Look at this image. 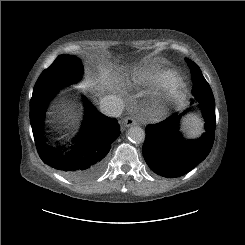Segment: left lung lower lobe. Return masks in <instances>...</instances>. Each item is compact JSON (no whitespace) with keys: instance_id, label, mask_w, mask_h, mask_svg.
Wrapping results in <instances>:
<instances>
[{"instance_id":"left-lung-lower-lobe-1","label":"left lung lower lobe","mask_w":245,"mask_h":245,"mask_svg":"<svg viewBox=\"0 0 245 245\" xmlns=\"http://www.w3.org/2000/svg\"><path fill=\"white\" fill-rule=\"evenodd\" d=\"M197 101L206 122L201 139L186 140L180 134L179 121L185 112L174 113L162 122L147 126L143 155L154 173L163 177H180L202 162L211 151L216 124L214 96Z\"/></svg>"}]
</instances>
